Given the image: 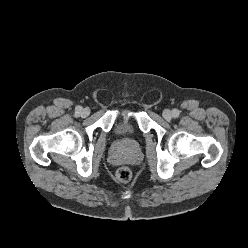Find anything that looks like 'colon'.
Wrapping results in <instances>:
<instances>
[{
	"instance_id": "colon-1",
	"label": "colon",
	"mask_w": 248,
	"mask_h": 248,
	"mask_svg": "<svg viewBox=\"0 0 248 248\" xmlns=\"http://www.w3.org/2000/svg\"><path fill=\"white\" fill-rule=\"evenodd\" d=\"M132 171L128 167H120L116 172V179L121 183L130 181Z\"/></svg>"
}]
</instances>
